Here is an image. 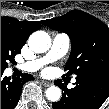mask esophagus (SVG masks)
<instances>
[{
	"label": "esophagus",
	"instance_id": "1",
	"mask_svg": "<svg viewBox=\"0 0 109 109\" xmlns=\"http://www.w3.org/2000/svg\"><path fill=\"white\" fill-rule=\"evenodd\" d=\"M42 85L45 86V87H49L51 86V83L50 82H47V81H41Z\"/></svg>",
	"mask_w": 109,
	"mask_h": 109
}]
</instances>
